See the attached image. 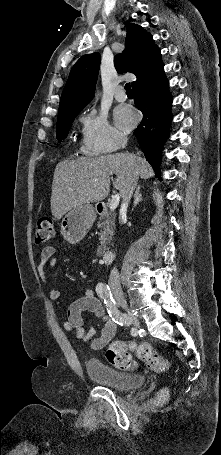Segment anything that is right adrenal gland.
Segmentation results:
<instances>
[{
	"label": "right adrenal gland",
	"mask_w": 221,
	"mask_h": 455,
	"mask_svg": "<svg viewBox=\"0 0 221 455\" xmlns=\"http://www.w3.org/2000/svg\"><path fill=\"white\" fill-rule=\"evenodd\" d=\"M141 186H137L135 194H134V201H133V207L132 210L137 206V204L142 201V195L140 193Z\"/></svg>",
	"instance_id": "obj_1"
}]
</instances>
